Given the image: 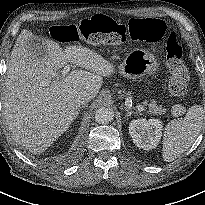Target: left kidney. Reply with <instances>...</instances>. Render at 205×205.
<instances>
[{"mask_svg":"<svg viewBox=\"0 0 205 205\" xmlns=\"http://www.w3.org/2000/svg\"><path fill=\"white\" fill-rule=\"evenodd\" d=\"M163 124L159 119H136L129 123V134L136 146L144 150L156 148L162 136Z\"/></svg>","mask_w":205,"mask_h":205,"instance_id":"5707ae66","label":"left kidney"}]
</instances>
